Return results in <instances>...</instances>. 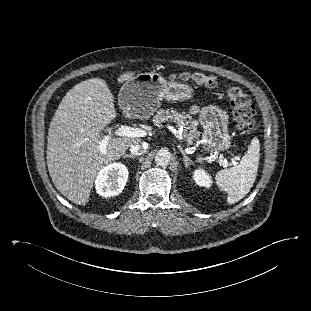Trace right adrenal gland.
Listing matches in <instances>:
<instances>
[{
    "label": "right adrenal gland",
    "instance_id": "2a0ac1e0",
    "mask_svg": "<svg viewBox=\"0 0 311 311\" xmlns=\"http://www.w3.org/2000/svg\"><path fill=\"white\" fill-rule=\"evenodd\" d=\"M135 155H130V154H125L124 155V158H132V159H135Z\"/></svg>",
    "mask_w": 311,
    "mask_h": 311
}]
</instances>
